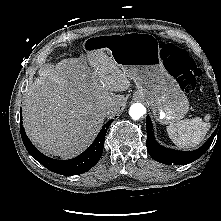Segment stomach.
<instances>
[{
  "mask_svg": "<svg viewBox=\"0 0 221 221\" xmlns=\"http://www.w3.org/2000/svg\"><path fill=\"white\" fill-rule=\"evenodd\" d=\"M86 54L105 50L114 63L134 80V99H143L161 124H173L189 110V101L177 81L166 71L155 37L148 33L109 34L88 39Z\"/></svg>",
  "mask_w": 221,
  "mask_h": 221,
  "instance_id": "stomach-1",
  "label": "stomach"
}]
</instances>
